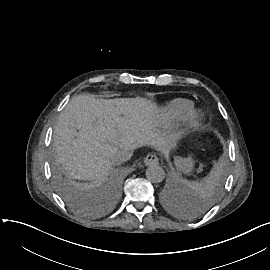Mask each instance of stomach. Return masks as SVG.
<instances>
[{
	"label": "stomach",
	"instance_id": "0dacf381",
	"mask_svg": "<svg viewBox=\"0 0 270 270\" xmlns=\"http://www.w3.org/2000/svg\"><path fill=\"white\" fill-rule=\"evenodd\" d=\"M174 163H175L177 171L187 176L192 174L195 161L190 155L187 157L175 156ZM201 170H202V167L200 166V168L198 169V172H200Z\"/></svg>",
	"mask_w": 270,
	"mask_h": 270
}]
</instances>
